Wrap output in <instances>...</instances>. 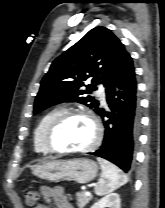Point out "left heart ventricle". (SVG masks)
I'll return each instance as SVG.
<instances>
[{
	"mask_svg": "<svg viewBox=\"0 0 165 208\" xmlns=\"http://www.w3.org/2000/svg\"><path fill=\"white\" fill-rule=\"evenodd\" d=\"M93 135V127L86 118L71 117L54 131L52 142L61 149H79L86 147Z\"/></svg>",
	"mask_w": 165,
	"mask_h": 208,
	"instance_id": "obj_1",
	"label": "left heart ventricle"
}]
</instances>
